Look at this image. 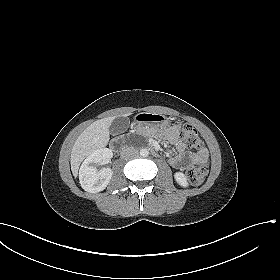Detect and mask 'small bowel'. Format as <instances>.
<instances>
[{
  "instance_id": "small-bowel-1",
  "label": "small bowel",
  "mask_w": 280,
  "mask_h": 280,
  "mask_svg": "<svg viewBox=\"0 0 280 280\" xmlns=\"http://www.w3.org/2000/svg\"><path fill=\"white\" fill-rule=\"evenodd\" d=\"M166 138L175 145L176 154L170 159V164L184 170L193 164H205L208 162V151L202 147L195 153L186 154L185 143L180 139L178 126H171L166 130Z\"/></svg>"
}]
</instances>
